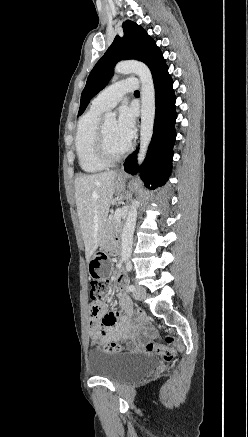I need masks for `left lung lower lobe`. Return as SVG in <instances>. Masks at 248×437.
Wrapping results in <instances>:
<instances>
[{"mask_svg": "<svg viewBox=\"0 0 248 437\" xmlns=\"http://www.w3.org/2000/svg\"><path fill=\"white\" fill-rule=\"evenodd\" d=\"M153 82L156 103L154 133L146 159L140 167L141 178L147 187L152 184L151 189L164 185L170 175L177 117L173 81L167 65L153 75ZM137 153L138 149L125 160L124 170L129 174H135L139 169Z\"/></svg>", "mask_w": 248, "mask_h": 437, "instance_id": "0a47b994", "label": "left lung lower lobe"}]
</instances>
